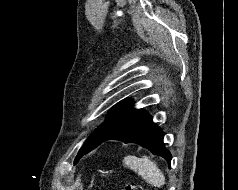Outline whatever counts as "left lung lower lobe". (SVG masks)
<instances>
[{
  "label": "left lung lower lobe",
  "instance_id": "1",
  "mask_svg": "<svg viewBox=\"0 0 238 190\" xmlns=\"http://www.w3.org/2000/svg\"><path fill=\"white\" fill-rule=\"evenodd\" d=\"M163 136L162 129L153 122L151 115L146 110L136 109L132 105L116 121L102 143L107 140L135 143L163 157L170 164L171 153L165 148Z\"/></svg>",
  "mask_w": 238,
  "mask_h": 190
}]
</instances>
